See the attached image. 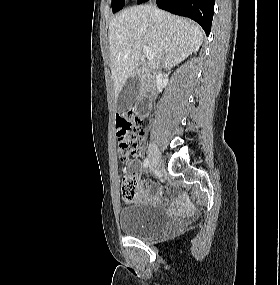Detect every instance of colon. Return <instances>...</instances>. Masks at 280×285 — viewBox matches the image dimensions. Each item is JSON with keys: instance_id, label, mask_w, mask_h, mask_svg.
I'll use <instances>...</instances> for the list:
<instances>
[{"instance_id": "obj_1", "label": "colon", "mask_w": 280, "mask_h": 285, "mask_svg": "<svg viewBox=\"0 0 280 285\" xmlns=\"http://www.w3.org/2000/svg\"><path fill=\"white\" fill-rule=\"evenodd\" d=\"M116 121L118 148L121 156L125 158L138 151L144 133L143 123L132 109L119 113ZM122 192L127 202L135 199L136 184L132 177L124 178Z\"/></svg>"}]
</instances>
